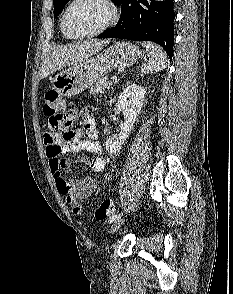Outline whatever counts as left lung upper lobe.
Segmentation results:
<instances>
[{"mask_svg": "<svg viewBox=\"0 0 233 294\" xmlns=\"http://www.w3.org/2000/svg\"><path fill=\"white\" fill-rule=\"evenodd\" d=\"M115 4H119L121 0H112ZM69 2V0H53L54 4V18L57 17L59 12L64 8V6Z\"/></svg>", "mask_w": 233, "mask_h": 294, "instance_id": "5c2ea615", "label": "left lung upper lobe"}]
</instances>
